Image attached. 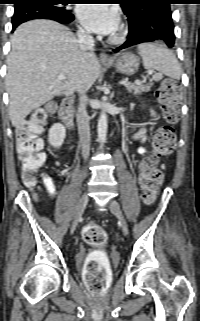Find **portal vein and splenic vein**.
Segmentation results:
<instances>
[{"label": "portal vein and splenic vein", "mask_w": 200, "mask_h": 321, "mask_svg": "<svg viewBox=\"0 0 200 321\" xmlns=\"http://www.w3.org/2000/svg\"><path fill=\"white\" fill-rule=\"evenodd\" d=\"M151 74H153V71H149V72H148V75H151ZM57 79L60 80V81H63V80L66 79V77H65L64 75H59V76L57 77ZM127 83H128L127 80L120 81V84H121V85H126ZM135 83L138 84V83H141V82H140L139 80H136Z\"/></svg>", "instance_id": "1"}]
</instances>
